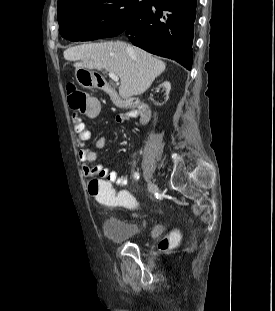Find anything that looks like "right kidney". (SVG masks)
Returning <instances> with one entry per match:
<instances>
[{
    "label": "right kidney",
    "instance_id": "1",
    "mask_svg": "<svg viewBox=\"0 0 275 311\" xmlns=\"http://www.w3.org/2000/svg\"><path fill=\"white\" fill-rule=\"evenodd\" d=\"M171 85L170 82L165 81L160 84L158 87H155L152 90V97H156L154 102L156 103L157 108H164L165 105L169 104L168 94L170 92Z\"/></svg>",
    "mask_w": 275,
    "mask_h": 311
}]
</instances>
